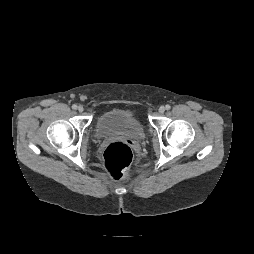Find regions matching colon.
I'll return each mask as SVG.
<instances>
[{
  "label": "colon",
  "mask_w": 254,
  "mask_h": 254,
  "mask_svg": "<svg viewBox=\"0 0 254 254\" xmlns=\"http://www.w3.org/2000/svg\"><path fill=\"white\" fill-rule=\"evenodd\" d=\"M132 151L125 142L109 144L103 154L106 173L115 180L128 181L132 177Z\"/></svg>",
  "instance_id": "obj_1"
}]
</instances>
